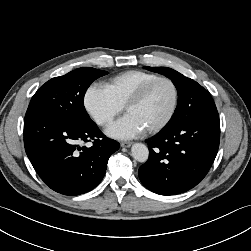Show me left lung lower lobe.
<instances>
[{"instance_id":"0a47b994","label":"left lung lower lobe","mask_w":251,"mask_h":251,"mask_svg":"<svg viewBox=\"0 0 251 251\" xmlns=\"http://www.w3.org/2000/svg\"><path fill=\"white\" fill-rule=\"evenodd\" d=\"M182 117L145 142L149 159L139 168L142 184L160 195H175L195 187L217 155L220 121L207 90L192 94L181 108Z\"/></svg>"}]
</instances>
